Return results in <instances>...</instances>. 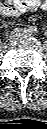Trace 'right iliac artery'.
Instances as JSON below:
<instances>
[{
    "instance_id": "obj_1",
    "label": "right iliac artery",
    "mask_w": 47,
    "mask_h": 129,
    "mask_svg": "<svg viewBox=\"0 0 47 129\" xmlns=\"http://www.w3.org/2000/svg\"><path fill=\"white\" fill-rule=\"evenodd\" d=\"M35 30H36V28L34 26H28L26 28V31H28V32H35Z\"/></svg>"
}]
</instances>
